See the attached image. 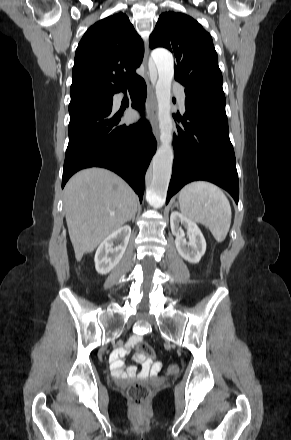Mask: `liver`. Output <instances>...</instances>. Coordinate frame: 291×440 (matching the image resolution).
<instances>
[{
	"instance_id": "6515ba94",
	"label": "liver",
	"mask_w": 291,
	"mask_h": 440,
	"mask_svg": "<svg viewBox=\"0 0 291 440\" xmlns=\"http://www.w3.org/2000/svg\"><path fill=\"white\" fill-rule=\"evenodd\" d=\"M63 201L77 261L129 222L138 204L137 195L122 178L96 167L81 170L70 178Z\"/></svg>"
}]
</instances>
